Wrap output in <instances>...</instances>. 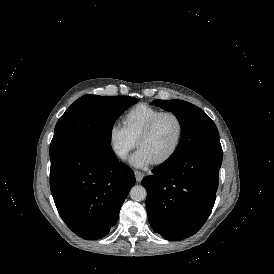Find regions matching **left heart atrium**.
I'll return each instance as SVG.
<instances>
[{
	"label": "left heart atrium",
	"mask_w": 274,
	"mask_h": 274,
	"mask_svg": "<svg viewBox=\"0 0 274 274\" xmlns=\"http://www.w3.org/2000/svg\"><path fill=\"white\" fill-rule=\"evenodd\" d=\"M129 162L135 167L151 164V160L144 150L138 148L129 158Z\"/></svg>",
	"instance_id": "obj_1"
}]
</instances>
